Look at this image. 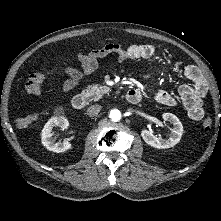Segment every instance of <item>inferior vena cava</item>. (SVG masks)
Masks as SVG:
<instances>
[{
	"instance_id": "obj_1",
	"label": "inferior vena cava",
	"mask_w": 221,
	"mask_h": 221,
	"mask_svg": "<svg viewBox=\"0 0 221 221\" xmlns=\"http://www.w3.org/2000/svg\"><path fill=\"white\" fill-rule=\"evenodd\" d=\"M101 109H102L101 105H92V106L88 107L87 115L90 117L96 116V115H98V113L100 112Z\"/></svg>"
}]
</instances>
